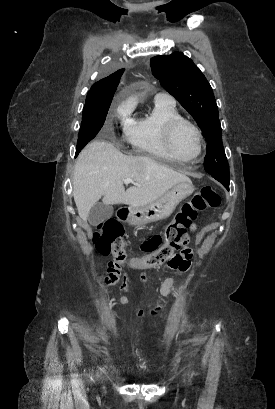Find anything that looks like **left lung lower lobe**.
<instances>
[{
  "mask_svg": "<svg viewBox=\"0 0 275 409\" xmlns=\"http://www.w3.org/2000/svg\"><path fill=\"white\" fill-rule=\"evenodd\" d=\"M212 177H214L216 180H218L220 183L223 184V186L229 190V179H224L222 177L219 176H215V175H211Z\"/></svg>",
  "mask_w": 275,
  "mask_h": 409,
  "instance_id": "0a47b994",
  "label": "left lung lower lobe"
}]
</instances>
